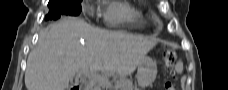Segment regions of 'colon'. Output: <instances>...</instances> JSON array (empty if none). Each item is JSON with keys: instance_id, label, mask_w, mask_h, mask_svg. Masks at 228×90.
I'll use <instances>...</instances> for the list:
<instances>
[{"instance_id": "obj_1", "label": "colon", "mask_w": 228, "mask_h": 90, "mask_svg": "<svg viewBox=\"0 0 228 90\" xmlns=\"http://www.w3.org/2000/svg\"><path fill=\"white\" fill-rule=\"evenodd\" d=\"M174 60H175V53L171 50H168L164 54V57H163V61H164L165 66L171 67L173 65ZM165 90H174L173 84L170 82H167L165 84Z\"/></svg>"}]
</instances>
